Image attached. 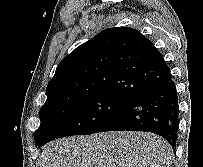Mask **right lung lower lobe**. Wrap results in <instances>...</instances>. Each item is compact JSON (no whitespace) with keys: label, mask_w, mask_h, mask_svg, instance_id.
Instances as JSON below:
<instances>
[{"label":"right lung lower lobe","mask_w":203,"mask_h":167,"mask_svg":"<svg viewBox=\"0 0 203 167\" xmlns=\"http://www.w3.org/2000/svg\"><path fill=\"white\" fill-rule=\"evenodd\" d=\"M178 129V96L170 75L161 84L131 100L94 133L120 130L152 132L166 139L175 152Z\"/></svg>","instance_id":"obj_1"}]
</instances>
